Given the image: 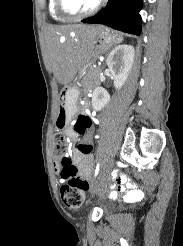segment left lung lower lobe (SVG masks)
<instances>
[{
    "label": "left lung lower lobe",
    "instance_id": "left-lung-lower-lobe-1",
    "mask_svg": "<svg viewBox=\"0 0 183 246\" xmlns=\"http://www.w3.org/2000/svg\"><path fill=\"white\" fill-rule=\"evenodd\" d=\"M143 0H108L107 6L84 23L104 24L116 30L140 35L141 17L139 11Z\"/></svg>",
    "mask_w": 183,
    "mask_h": 246
}]
</instances>
